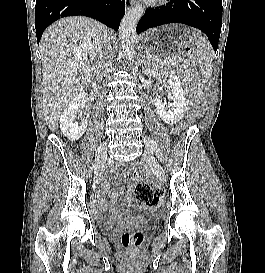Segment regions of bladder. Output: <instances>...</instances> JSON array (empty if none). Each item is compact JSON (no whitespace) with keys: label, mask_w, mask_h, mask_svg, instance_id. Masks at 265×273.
Segmentation results:
<instances>
[{"label":"bladder","mask_w":265,"mask_h":273,"mask_svg":"<svg viewBox=\"0 0 265 273\" xmlns=\"http://www.w3.org/2000/svg\"><path fill=\"white\" fill-rule=\"evenodd\" d=\"M116 223L115 217H108L106 219H101L100 224L102 225L105 231H110Z\"/></svg>","instance_id":"bladder-1"}]
</instances>
